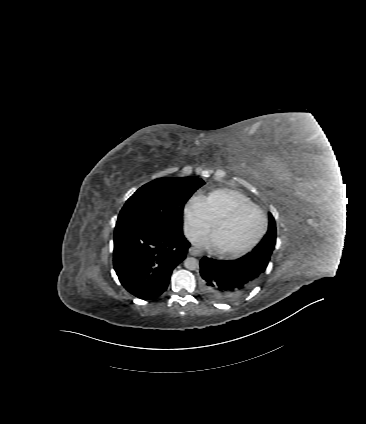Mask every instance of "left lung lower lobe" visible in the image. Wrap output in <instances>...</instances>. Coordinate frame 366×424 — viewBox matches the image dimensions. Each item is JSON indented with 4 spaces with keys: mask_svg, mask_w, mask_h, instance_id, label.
<instances>
[{
    "mask_svg": "<svg viewBox=\"0 0 366 424\" xmlns=\"http://www.w3.org/2000/svg\"><path fill=\"white\" fill-rule=\"evenodd\" d=\"M267 263L246 254L236 260L200 261V290L209 299L231 302L243 297L260 281Z\"/></svg>",
    "mask_w": 366,
    "mask_h": 424,
    "instance_id": "1",
    "label": "left lung lower lobe"
}]
</instances>
